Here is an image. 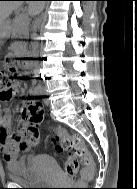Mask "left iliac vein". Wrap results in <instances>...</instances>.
Wrapping results in <instances>:
<instances>
[{"label":"left iliac vein","instance_id":"4c4485c4","mask_svg":"<svg viewBox=\"0 0 137 189\" xmlns=\"http://www.w3.org/2000/svg\"><path fill=\"white\" fill-rule=\"evenodd\" d=\"M41 93H42L43 95H45V94H46L45 89H42V90H41ZM45 104H46V105H48V104H49V101H48V100H47V101H45Z\"/></svg>","mask_w":137,"mask_h":189}]
</instances>
